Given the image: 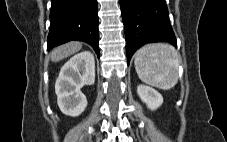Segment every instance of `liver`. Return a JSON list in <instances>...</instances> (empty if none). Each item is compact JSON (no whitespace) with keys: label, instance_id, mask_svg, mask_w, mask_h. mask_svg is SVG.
I'll list each match as a JSON object with an SVG mask.
<instances>
[{"label":"liver","instance_id":"liver-1","mask_svg":"<svg viewBox=\"0 0 227 142\" xmlns=\"http://www.w3.org/2000/svg\"><path fill=\"white\" fill-rule=\"evenodd\" d=\"M82 43L81 42H69L67 44H64L62 46H59L55 48L51 52V61L52 62H58L68 56H71L81 50Z\"/></svg>","mask_w":227,"mask_h":142}]
</instances>
